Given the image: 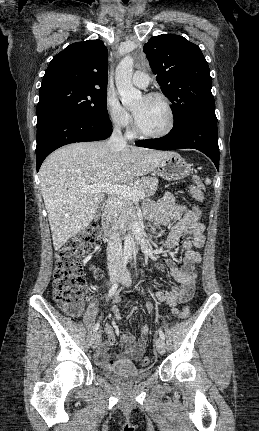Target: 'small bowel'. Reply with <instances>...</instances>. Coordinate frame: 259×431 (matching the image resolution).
<instances>
[{"label": "small bowel", "mask_w": 259, "mask_h": 431, "mask_svg": "<svg viewBox=\"0 0 259 431\" xmlns=\"http://www.w3.org/2000/svg\"><path fill=\"white\" fill-rule=\"evenodd\" d=\"M201 210V209H200ZM148 219L154 225V230L161 225L173 224L166 242L162 245L163 249L175 247L181 236H186L182 242V263L176 265L172 260L162 259L153 255L154 263L150 266L163 270L166 264L170 270V275L178 283L170 290L159 291L154 302L148 304L151 308L155 302H165L173 314L178 313V305L189 301L194 293L197 283V265L201 262V255L196 250L203 247L205 242L204 226L199 222V218L194 220L191 217L192 209L185 204L176 202L172 194L165 193L154 206L148 207ZM116 298L115 301H118ZM112 312L119 316L115 308ZM150 331L148 325L141 328V335L136 339L131 333L125 332L121 335L120 345L122 350L118 355L109 352V348L116 343V336L112 324L105 327L106 341L99 344L96 353L97 361L104 367H111L116 364H131L132 361L139 360L144 351L147 335Z\"/></svg>", "instance_id": "obj_1"}]
</instances>
